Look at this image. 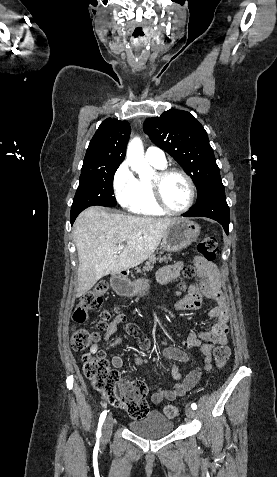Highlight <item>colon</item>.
<instances>
[{"label": "colon", "mask_w": 277, "mask_h": 477, "mask_svg": "<svg viewBox=\"0 0 277 477\" xmlns=\"http://www.w3.org/2000/svg\"><path fill=\"white\" fill-rule=\"evenodd\" d=\"M197 250L209 261L217 260L218 243L214 237H205L197 244ZM186 277H191L194 270L191 267L184 269ZM107 291L105 282L98 283L91 291L87 292L80 300L72 314V320L76 324H83L88 319L91 310L98 309ZM110 318L109 311H102L96 322V330L90 331L81 327H73L71 332L72 347L76 351H82L90 347L99 339V333L106 328ZM217 367H224L231 355L230 348L220 345L214 352ZM83 370L93 388L113 407L126 411L131 417L141 419L149 412V405L145 399L146 385L141 381H133L121 384L117 371L110 367L105 356L87 353L83 356ZM168 418H174L178 409L174 405H167L163 410Z\"/></svg>", "instance_id": "colon-1"}]
</instances>
